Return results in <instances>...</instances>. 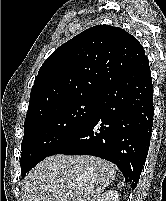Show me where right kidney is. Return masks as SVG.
<instances>
[{"mask_svg":"<svg viewBox=\"0 0 166 201\" xmlns=\"http://www.w3.org/2000/svg\"><path fill=\"white\" fill-rule=\"evenodd\" d=\"M97 201H119V195L116 190H109L101 195Z\"/></svg>","mask_w":166,"mask_h":201,"instance_id":"1","label":"right kidney"}]
</instances>
